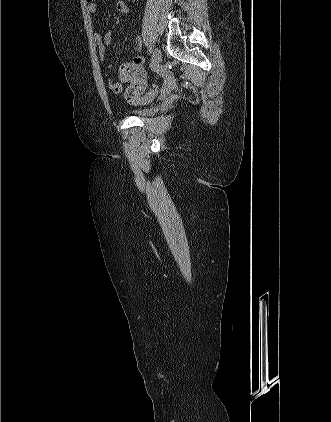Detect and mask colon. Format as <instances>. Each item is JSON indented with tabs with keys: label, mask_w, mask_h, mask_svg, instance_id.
I'll use <instances>...</instances> for the list:
<instances>
[{
	"label": "colon",
	"mask_w": 331,
	"mask_h": 422,
	"mask_svg": "<svg viewBox=\"0 0 331 422\" xmlns=\"http://www.w3.org/2000/svg\"><path fill=\"white\" fill-rule=\"evenodd\" d=\"M145 77V72L143 68L140 66H136L133 63H125L121 65L119 70V78L120 80H126V79H143ZM126 97L128 100H134L135 99V90L133 88H129L126 91Z\"/></svg>",
	"instance_id": "5ec220e1"
}]
</instances>
